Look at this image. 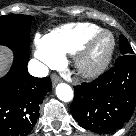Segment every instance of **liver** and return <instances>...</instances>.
Listing matches in <instances>:
<instances>
[{"mask_svg": "<svg viewBox=\"0 0 136 136\" xmlns=\"http://www.w3.org/2000/svg\"><path fill=\"white\" fill-rule=\"evenodd\" d=\"M11 64V53L7 48L0 47V77L4 75Z\"/></svg>", "mask_w": 136, "mask_h": 136, "instance_id": "6515ba94", "label": "liver"}]
</instances>
